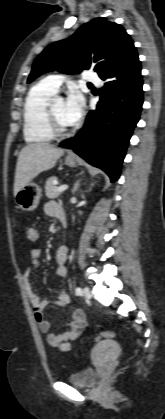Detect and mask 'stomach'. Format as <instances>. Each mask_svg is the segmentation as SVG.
Here are the masks:
<instances>
[{
	"label": "stomach",
	"instance_id": "stomach-1",
	"mask_svg": "<svg viewBox=\"0 0 165 419\" xmlns=\"http://www.w3.org/2000/svg\"><path fill=\"white\" fill-rule=\"evenodd\" d=\"M65 164L69 167H75L77 161L75 158L67 156ZM41 198V189L35 183H28L21 188L15 195V202L19 208L24 211H33L37 208Z\"/></svg>",
	"mask_w": 165,
	"mask_h": 419
}]
</instances>
